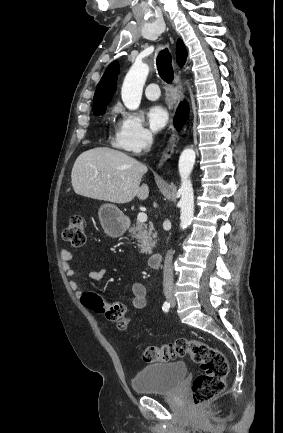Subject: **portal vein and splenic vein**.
<instances>
[{"instance_id": "1", "label": "portal vein and splenic vein", "mask_w": 283, "mask_h": 433, "mask_svg": "<svg viewBox=\"0 0 283 433\" xmlns=\"http://www.w3.org/2000/svg\"><path fill=\"white\" fill-rule=\"evenodd\" d=\"M96 174H99L98 170H95ZM148 217L146 212H138L137 214V221H139V223H146Z\"/></svg>"}]
</instances>
